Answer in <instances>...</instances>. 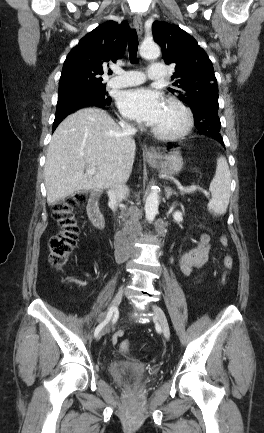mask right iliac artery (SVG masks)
Segmentation results:
<instances>
[{
	"label": "right iliac artery",
	"mask_w": 264,
	"mask_h": 433,
	"mask_svg": "<svg viewBox=\"0 0 264 433\" xmlns=\"http://www.w3.org/2000/svg\"><path fill=\"white\" fill-rule=\"evenodd\" d=\"M112 314H113V310H112V308H110L106 314L105 319L96 327L95 332H94L95 337H98L100 331L110 321Z\"/></svg>",
	"instance_id": "right-iliac-artery-1"
}]
</instances>
